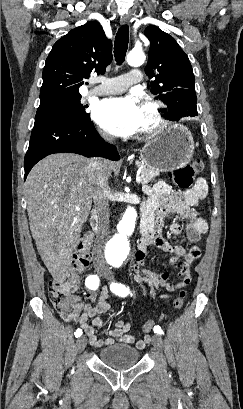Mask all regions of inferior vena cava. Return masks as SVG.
<instances>
[{"label": "inferior vena cava", "instance_id": "1", "mask_svg": "<svg viewBox=\"0 0 243 409\" xmlns=\"http://www.w3.org/2000/svg\"><path fill=\"white\" fill-rule=\"evenodd\" d=\"M105 140L111 137L104 135ZM89 183L94 200V207L98 217V234L94 241L92 256L95 264L100 269H107L104 258V248L109 234V204H108V176L103 168L102 161L98 158L90 160Z\"/></svg>", "mask_w": 243, "mask_h": 409}]
</instances>
